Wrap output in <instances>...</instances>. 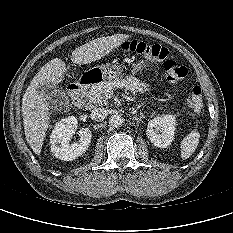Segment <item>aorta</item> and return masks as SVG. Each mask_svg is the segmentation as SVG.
<instances>
[{
	"label": "aorta",
	"mask_w": 233,
	"mask_h": 233,
	"mask_svg": "<svg viewBox=\"0 0 233 233\" xmlns=\"http://www.w3.org/2000/svg\"><path fill=\"white\" fill-rule=\"evenodd\" d=\"M124 118L120 114H113L109 118V124L112 127H119L123 124Z\"/></svg>",
	"instance_id": "762f6f07"
}]
</instances>
